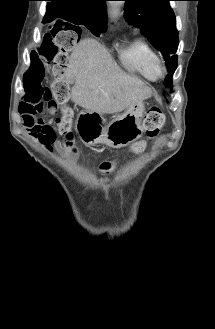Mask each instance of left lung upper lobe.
<instances>
[{"instance_id":"5c2ea615","label":"left lung upper lobe","mask_w":215,"mask_h":329,"mask_svg":"<svg viewBox=\"0 0 215 329\" xmlns=\"http://www.w3.org/2000/svg\"><path fill=\"white\" fill-rule=\"evenodd\" d=\"M125 19L140 27L150 42L161 51L169 71L164 84L172 87V75L177 68L175 55L179 40L175 15L169 5L171 0H124Z\"/></svg>"}]
</instances>
